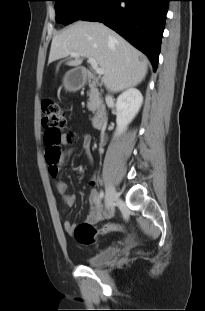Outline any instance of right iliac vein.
Masks as SVG:
<instances>
[{
    "label": "right iliac vein",
    "instance_id": "obj_1",
    "mask_svg": "<svg viewBox=\"0 0 205 311\" xmlns=\"http://www.w3.org/2000/svg\"><path fill=\"white\" fill-rule=\"evenodd\" d=\"M118 198V194H117V191L116 189L112 186V185H108L107 186V190H106V207L107 209H111L114 204H115V201L117 200Z\"/></svg>",
    "mask_w": 205,
    "mask_h": 311
}]
</instances>
